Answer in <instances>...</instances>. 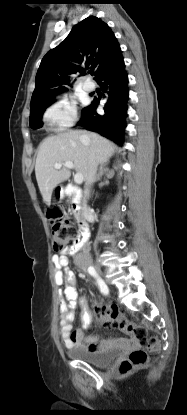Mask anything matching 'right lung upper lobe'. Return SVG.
<instances>
[{"label":"right lung upper lobe","mask_w":187,"mask_h":415,"mask_svg":"<svg viewBox=\"0 0 187 415\" xmlns=\"http://www.w3.org/2000/svg\"><path fill=\"white\" fill-rule=\"evenodd\" d=\"M121 53L110 27L101 19L89 16L75 25L66 39L43 57L35 78L30 112L50 105L54 94L71 86L70 75L85 69L94 79ZM58 86L56 89H51Z\"/></svg>","instance_id":"cb5924a9"}]
</instances>
